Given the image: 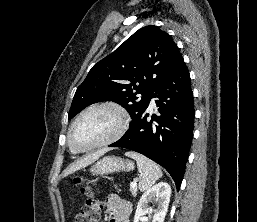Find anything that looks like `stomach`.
Listing matches in <instances>:
<instances>
[{"label":"stomach","mask_w":257,"mask_h":222,"mask_svg":"<svg viewBox=\"0 0 257 222\" xmlns=\"http://www.w3.org/2000/svg\"><path fill=\"white\" fill-rule=\"evenodd\" d=\"M134 169L133 162L115 156H106L100 159L90 172L93 175H106L119 171H131Z\"/></svg>","instance_id":"0dacf381"}]
</instances>
